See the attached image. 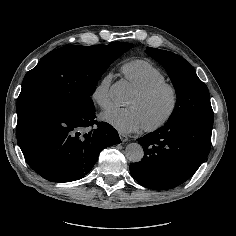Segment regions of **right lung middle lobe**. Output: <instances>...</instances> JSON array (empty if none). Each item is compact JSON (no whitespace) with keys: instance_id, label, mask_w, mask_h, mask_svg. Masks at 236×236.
I'll return each instance as SVG.
<instances>
[{"instance_id":"1","label":"right lung middle lobe","mask_w":236,"mask_h":236,"mask_svg":"<svg viewBox=\"0 0 236 236\" xmlns=\"http://www.w3.org/2000/svg\"><path fill=\"white\" fill-rule=\"evenodd\" d=\"M133 47L66 46L49 52L26 73L17 100L18 122L48 108H94L90 96L109 65Z\"/></svg>"}]
</instances>
